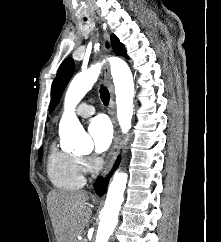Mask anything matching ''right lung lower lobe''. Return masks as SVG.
<instances>
[{"instance_id": "right-lung-lower-lobe-1", "label": "right lung lower lobe", "mask_w": 221, "mask_h": 242, "mask_svg": "<svg viewBox=\"0 0 221 242\" xmlns=\"http://www.w3.org/2000/svg\"><path fill=\"white\" fill-rule=\"evenodd\" d=\"M119 161H120V157H118V159H117V161H116V163L114 165L113 170H115L118 167ZM108 179H109V177L108 178H104V179L99 178L97 180L96 185H95V190H96V193L98 195H102V194L105 193L106 188H107V184H108Z\"/></svg>"}]
</instances>
